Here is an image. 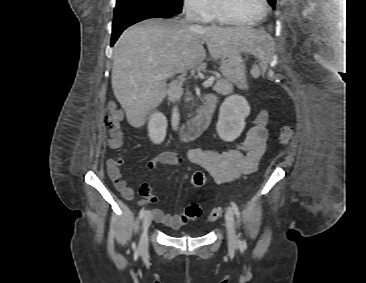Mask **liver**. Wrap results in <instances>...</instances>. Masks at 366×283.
I'll list each match as a JSON object with an SVG mask.
<instances>
[{"instance_id": "1", "label": "liver", "mask_w": 366, "mask_h": 283, "mask_svg": "<svg viewBox=\"0 0 366 283\" xmlns=\"http://www.w3.org/2000/svg\"><path fill=\"white\" fill-rule=\"evenodd\" d=\"M270 40L262 30L251 27H203L178 18L147 19L126 29L114 45L111 84L126 113L128 123L141 127L146 116L167 94L161 75L195 69L205 58L219 59L233 50L264 56Z\"/></svg>"}]
</instances>
